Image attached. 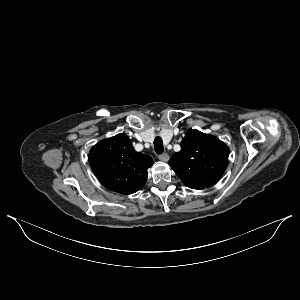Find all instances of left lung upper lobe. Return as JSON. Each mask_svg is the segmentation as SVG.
Returning a JSON list of instances; mask_svg holds the SVG:
<instances>
[{
    "label": "left lung upper lobe",
    "mask_w": 300,
    "mask_h": 300,
    "mask_svg": "<svg viewBox=\"0 0 300 300\" xmlns=\"http://www.w3.org/2000/svg\"><path fill=\"white\" fill-rule=\"evenodd\" d=\"M229 148L218 138L190 129L181 142V151L168 164L193 189L201 190L215 184L228 164Z\"/></svg>",
    "instance_id": "left-lung-upper-lobe-1"
}]
</instances>
